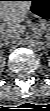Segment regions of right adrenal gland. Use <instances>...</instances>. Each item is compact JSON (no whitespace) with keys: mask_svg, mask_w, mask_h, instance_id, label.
<instances>
[{"mask_svg":"<svg viewBox=\"0 0 50 111\" xmlns=\"http://www.w3.org/2000/svg\"><path fill=\"white\" fill-rule=\"evenodd\" d=\"M3 46H8V44H7V43H5V44H1V47H3Z\"/></svg>","mask_w":50,"mask_h":111,"instance_id":"2a0ac1e0","label":"right adrenal gland"}]
</instances>
